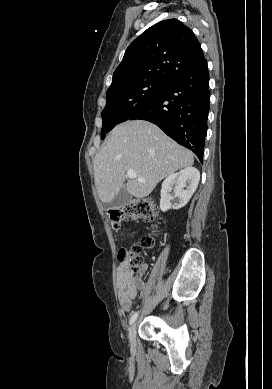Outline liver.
<instances>
[{"instance_id": "obj_1", "label": "liver", "mask_w": 272, "mask_h": 389, "mask_svg": "<svg viewBox=\"0 0 272 389\" xmlns=\"http://www.w3.org/2000/svg\"><path fill=\"white\" fill-rule=\"evenodd\" d=\"M193 163L192 152L156 125L126 121L111 131L93 160L95 185L100 200L109 203L121 190L126 171L134 170L137 177L127 182L126 190L136 198H145L162 179Z\"/></svg>"}]
</instances>
